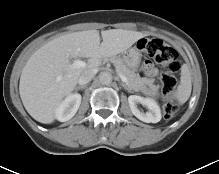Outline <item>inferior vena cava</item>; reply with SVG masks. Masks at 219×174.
<instances>
[{
	"mask_svg": "<svg viewBox=\"0 0 219 174\" xmlns=\"http://www.w3.org/2000/svg\"><path fill=\"white\" fill-rule=\"evenodd\" d=\"M95 74H96V70H94V69L84 71L80 75V77L78 79V83L80 85H85V84L89 83L94 78Z\"/></svg>",
	"mask_w": 219,
	"mask_h": 174,
	"instance_id": "obj_1",
	"label": "inferior vena cava"
}]
</instances>
